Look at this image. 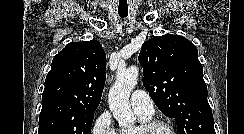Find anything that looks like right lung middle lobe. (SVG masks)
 Instances as JSON below:
<instances>
[{
    "label": "right lung middle lobe",
    "mask_w": 244,
    "mask_h": 134,
    "mask_svg": "<svg viewBox=\"0 0 244 134\" xmlns=\"http://www.w3.org/2000/svg\"><path fill=\"white\" fill-rule=\"evenodd\" d=\"M95 110L62 101L43 103L38 134H91Z\"/></svg>",
    "instance_id": "1"
}]
</instances>
